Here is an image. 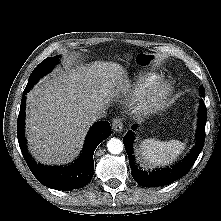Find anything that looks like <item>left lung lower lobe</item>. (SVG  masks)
Returning a JSON list of instances; mask_svg holds the SVG:
<instances>
[{"instance_id":"obj_1","label":"left lung lower lobe","mask_w":221,"mask_h":221,"mask_svg":"<svg viewBox=\"0 0 221 221\" xmlns=\"http://www.w3.org/2000/svg\"><path fill=\"white\" fill-rule=\"evenodd\" d=\"M207 119V110L204 105L203 100L200 101V111L198 118V131L196 137V145L192 148L190 153L181 162L167 168L156 169L152 171L142 170L140 167L136 166L134 157L132 155V143L134 136L132 131L127 133L123 138V143L128 154L130 167L132 170V176L134 180L144 186V187H157L162 185H167L175 180L186 175L190 168L195 163L197 157L199 156L205 141V125ZM133 129L137 125L132 126Z\"/></svg>"}]
</instances>
